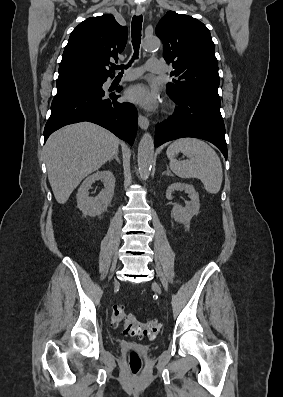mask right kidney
<instances>
[{
  "label": "right kidney",
  "mask_w": 283,
  "mask_h": 397,
  "mask_svg": "<svg viewBox=\"0 0 283 397\" xmlns=\"http://www.w3.org/2000/svg\"><path fill=\"white\" fill-rule=\"evenodd\" d=\"M101 180L104 184V189L95 198L89 197V189L95 182ZM115 189V178L111 171H97L96 173L88 176L77 194V206L82 211L84 216H99L105 212L111 203Z\"/></svg>",
  "instance_id": "1"
}]
</instances>
